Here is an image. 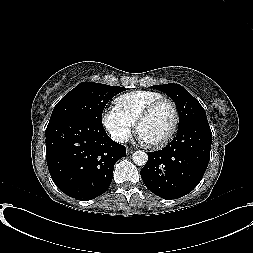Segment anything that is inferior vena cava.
<instances>
[{"label":"inferior vena cava","instance_id":"obj_1","mask_svg":"<svg viewBox=\"0 0 253 253\" xmlns=\"http://www.w3.org/2000/svg\"><path fill=\"white\" fill-rule=\"evenodd\" d=\"M116 141H117V142H121V143L127 142V141H128V137H127V136H118V137L116 138Z\"/></svg>","mask_w":253,"mask_h":253}]
</instances>
